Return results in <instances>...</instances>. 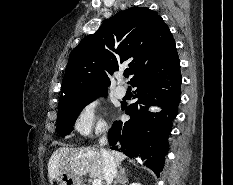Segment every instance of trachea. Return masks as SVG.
I'll return each instance as SVG.
<instances>
[{
    "mask_svg": "<svg viewBox=\"0 0 233 185\" xmlns=\"http://www.w3.org/2000/svg\"><path fill=\"white\" fill-rule=\"evenodd\" d=\"M129 74H130V72H129V71H125V72H124V76H125L126 78H128V77H129Z\"/></svg>",
    "mask_w": 233,
    "mask_h": 185,
    "instance_id": "obj_1",
    "label": "trachea"
}]
</instances>
